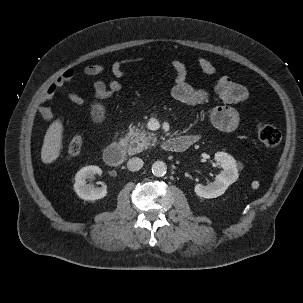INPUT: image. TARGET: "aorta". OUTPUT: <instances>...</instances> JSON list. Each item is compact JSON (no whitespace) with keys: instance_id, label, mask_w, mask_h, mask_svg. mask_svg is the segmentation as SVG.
Instances as JSON below:
<instances>
[{"instance_id":"obj_1","label":"aorta","mask_w":303,"mask_h":303,"mask_svg":"<svg viewBox=\"0 0 303 303\" xmlns=\"http://www.w3.org/2000/svg\"><path fill=\"white\" fill-rule=\"evenodd\" d=\"M167 165L163 161H156L152 164V173L157 176L161 177L166 174Z\"/></svg>"}]
</instances>
